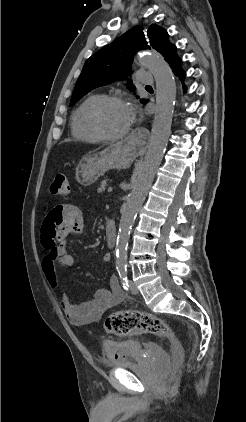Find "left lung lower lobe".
I'll use <instances>...</instances> for the list:
<instances>
[{
	"mask_svg": "<svg viewBox=\"0 0 246 422\" xmlns=\"http://www.w3.org/2000/svg\"><path fill=\"white\" fill-rule=\"evenodd\" d=\"M177 51V49H176ZM174 52L170 58L167 60L168 64L171 66L173 72L179 77V79L183 82L186 74L184 70L182 69V60L178 57L177 52ZM184 92L186 91V86L183 85ZM148 102V101H147ZM146 102V103H147Z\"/></svg>",
	"mask_w": 246,
	"mask_h": 422,
	"instance_id": "0a47b994",
	"label": "left lung lower lobe"
}]
</instances>
